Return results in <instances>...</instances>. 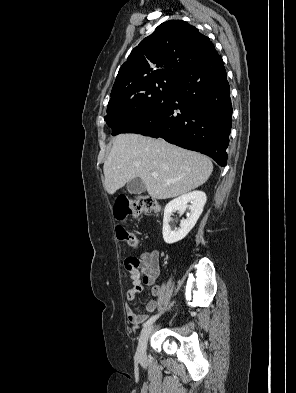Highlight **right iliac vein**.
<instances>
[{"label": "right iliac vein", "mask_w": 296, "mask_h": 393, "mask_svg": "<svg viewBox=\"0 0 296 393\" xmlns=\"http://www.w3.org/2000/svg\"><path fill=\"white\" fill-rule=\"evenodd\" d=\"M152 329H153V325L148 326L140 334L137 351H136V357L138 360H144L146 357L147 341L151 334Z\"/></svg>", "instance_id": "63e3f726"}]
</instances>
